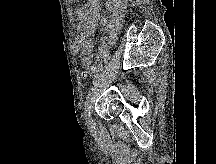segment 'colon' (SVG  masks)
Here are the masks:
<instances>
[{
    "label": "colon",
    "mask_w": 216,
    "mask_h": 164,
    "mask_svg": "<svg viewBox=\"0 0 216 164\" xmlns=\"http://www.w3.org/2000/svg\"><path fill=\"white\" fill-rule=\"evenodd\" d=\"M84 68L82 70V77L85 79L91 78L94 74V68L93 66L89 64H83Z\"/></svg>",
    "instance_id": "5ec220e1"
}]
</instances>
